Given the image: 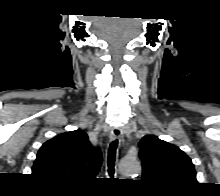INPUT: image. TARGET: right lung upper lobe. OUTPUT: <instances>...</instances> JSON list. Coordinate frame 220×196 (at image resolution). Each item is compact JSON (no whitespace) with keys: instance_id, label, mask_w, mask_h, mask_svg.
Listing matches in <instances>:
<instances>
[{"instance_id":"1","label":"right lung upper lobe","mask_w":220,"mask_h":196,"mask_svg":"<svg viewBox=\"0 0 220 196\" xmlns=\"http://www.w3.org/2000/svg\"><path fill=\"white\" fill-rule=\"evenodd\" d=\"M102 162L99 148H93L83 130L59 134L45 142L32 168L33 176L49 184L73 188L81 180L93 179Z\"/></svg>"}]
</instances>
